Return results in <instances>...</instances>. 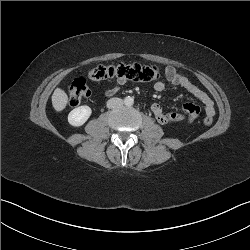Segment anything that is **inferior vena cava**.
Listing matches in <instances>:
<instances>
[{"instance_id": "inferior-vena-cava-1", "label": "inferior vena cava", "mask_w": 250, "mask_h": 250, "mask_svg": "<svg viewBox=\"0 0 250 250\" xmlns=\"http://www.w3.org/2000/svg\"><path fill=\"white\" fill-rule=\"evenodd\" d=\"M123 105V100L120 98H111L107 101V107L112 109V108H117L121 107Z\"/></svg>"}]
</instances>
